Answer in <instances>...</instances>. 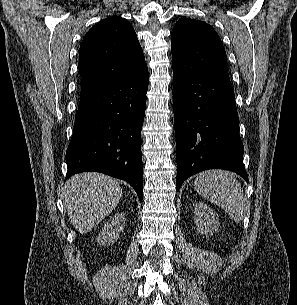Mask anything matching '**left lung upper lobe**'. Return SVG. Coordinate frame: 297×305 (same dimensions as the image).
Wrapping results in <instances>:
<instances>
[{"label": "left lung upper lobe", "mask_w": 297, "mask_h": 305, "mask_svg": "<svg viewBox=\"0 0 297 305\" xmlns=\"http://www.w3.org/2000/svg\"><path fill=\"white\" fill-rule=\"evenodd\" d=\"M172 60L194 75L227 74V56L217 32L207 23L182 18L172 30Z\"/></svg>", "instance_id": "1"}]
</instances>
